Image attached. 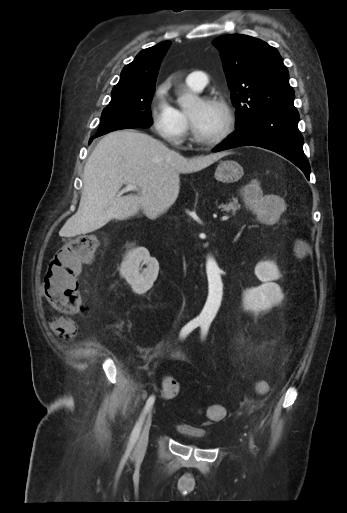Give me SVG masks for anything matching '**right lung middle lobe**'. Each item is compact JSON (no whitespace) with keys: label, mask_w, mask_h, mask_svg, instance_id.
Returning <instances> with one entry per match:
<instances>
[{"label":"right lung middle lobe","mask_w":347,"mask_h":513,"mask_svg":"<svg viewBox=\"0 0 347 513\" xmlns=\"http://www.w3.org/2000/svg\"><path fill=\"white\" fill-rule=\"evenodd\" d=\"M155 87L122 88L111 92L112 99L103 110L96 135L131 128H148L152 125L150 103Z\"/></svg>","instance_id":"1"}]
</instances>
